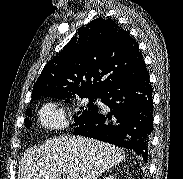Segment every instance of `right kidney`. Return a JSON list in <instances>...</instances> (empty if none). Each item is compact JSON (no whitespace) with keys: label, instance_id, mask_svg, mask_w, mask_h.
Masks as SVG:
<instances>
[{"label":"right kidney","instance_id":"obj_1","mask_svg":"<svg viewBox=\"0 0 183 179\" xmlns=\"http://www.w3.org/2000/svg\"><path fill=\"white\" fill-rule=\"evenodd\" d=\"M103 179H115V178H113L112 176H109V177H104Z\"/></svg>","mask_w":183,"mask_h":179}]
</instances>
